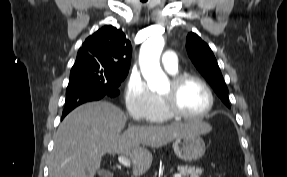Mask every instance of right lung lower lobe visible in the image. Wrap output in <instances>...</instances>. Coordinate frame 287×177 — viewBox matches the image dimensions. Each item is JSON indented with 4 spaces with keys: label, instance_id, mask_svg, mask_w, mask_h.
Wrapping results in <instances>:
<instances>
[{
    "label": "right lung lower lobe",
    "instance_id": "right-lung-lower-lobe-1",
    "mask_svg": "<svg viewBox=\"0 0 287 177\" xmlns=\"http://www.w3.org/2000/svg\"><path fill=\"white\" fill-rule=\"evenodd\" d=\"M119 93L118 89L107 91L104 87L92 85H80L66 90L65 108L62 119L75 107L90 101H97L106 97H114Z\"/></svg>",
    "mask_w": 287,
    "mask_h": 177
}]
</instances>
